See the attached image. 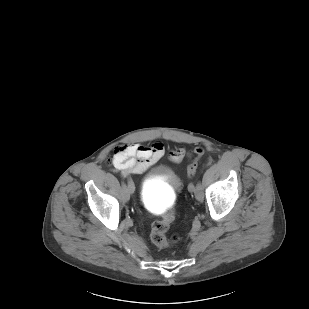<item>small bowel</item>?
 <instances>
[{
  "instance_id": "c3829d8e",
  "label": "small bowel",
  "mask_w": 309,
  "mask_h": 309,
  "mask_svg": "<svg viewBox=\"0 0 309 309\" xmlns=\"http://www.w3.org/2000/svg\"><path fill=\"white\" fill-rule=\"evenodd\" d=\"M126 151L127 157L124 160H115V167L119 170H124L125 174H141L162 158L164 155V145L161 142H155L149 146L134 143L128 145ZM187 156H189V153L185 149L180 148L173 151L171 160L173 162H180Z\"/></svg>"
}]
</instances>
